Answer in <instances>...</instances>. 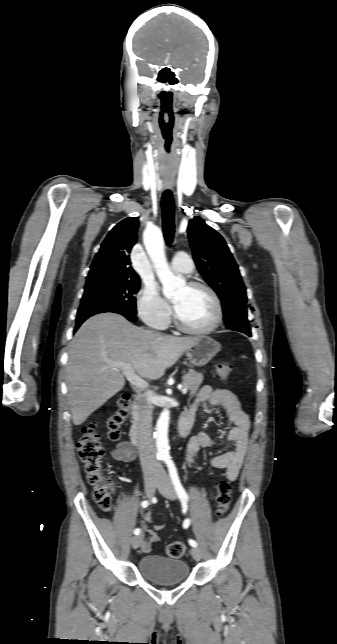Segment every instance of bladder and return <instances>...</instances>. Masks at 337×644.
Instances as JSON below:
<instances>
[{"mask_svg":"<svg viewBox=\"0 0 337 644\" xmlns=\"http://www.w3.org/2000/svg\"><path fill=\"white\" fill-rule=\"evenodd\" d=\"M138 569L144 578L161 585L181 583L189 576V566L185 561L160 555L142 557Z\"/></svg>","mask_w":337,"mask_h":644,"instance_id":"obj_1","label":"bladder"}]
</instances>
